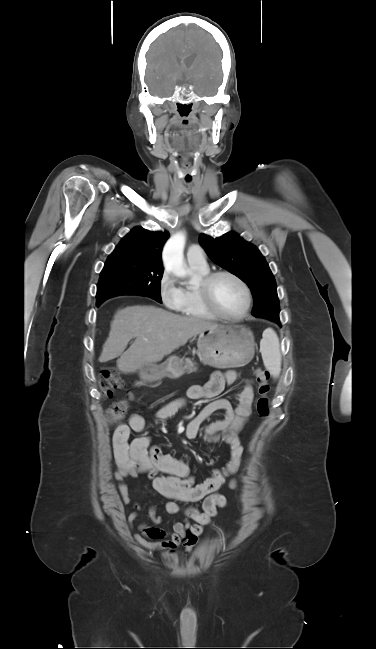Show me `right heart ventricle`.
<instances>
[{"label": "right heart ventricle", "mask_w": 376, "mask_h": 649, "mask_svg": "<svg viewBox=\"0 0 376 649\" xmlns=\"http://www.w3.org/2000/svg\"><path fill=\"white\" fill-rule=\"evenodd\" d=\"M191 269L201 279L209 270L208 267H200L191 265ZM182 300L177 308L182 315L190 318L214 320L216 316L211 314L204 307L198 290V284H186L181 288Z\"/></svg>", "instance_id": "e07e8e85"}]
</instances>
